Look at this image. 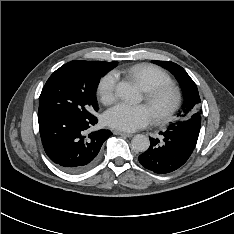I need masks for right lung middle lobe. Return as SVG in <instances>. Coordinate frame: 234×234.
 <instances>
[{
	"mask_svg": "<svg viewBox=\"0 0 234 234\" xmlns=\"http://www.w3.org/2000/svg\"><path fill=\"white\" fill-rule=\"evenodd\" d=\"M109 70L80 60L61 66L42 89L38 118L50 114L93 117L98 111L95 93L99 80Z\"/></svg>",
	"mask_w": 234,
	"mask_h": 234,
	"instance_id": "obj_1",
	"label": "right lung middle lobe"
}]
</instances>
